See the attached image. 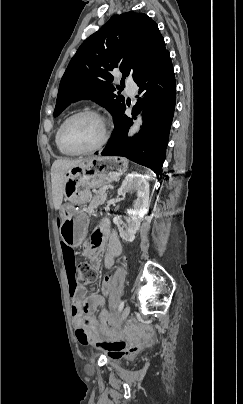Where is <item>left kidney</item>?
I'll use <instances>...</instances> for the list:
<instances>
[{"label":"left kidney","mask_w":243,"mask_h":404,"mask_svg":"<svg viewBox=\"0 0 243 404\" xmlns=\"http://www.w3.org/2000/svg\"><path fill=\"white\" fill-rule=\"evenodd\" d=\"M127 192H137V200H135L132 210H127L129 216L126 220L127 226H121V216H115L113 222L118 226L122 240L133 242L149 206V184L145 176L137 174V172L128 174L118 190V196H126Z\"/></svg>","instance_id":"5707ae66"}]
</instances>
